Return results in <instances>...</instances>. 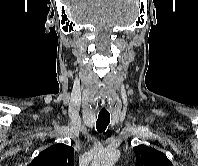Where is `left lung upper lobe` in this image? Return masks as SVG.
<instances>
[{
    "label": "left lung upper lobe",
    "mask_w": 198,
    "mask_h": 166,
    "mask_svg": "<svg viewBox=\"0 0 198 166\" xmlns=\"http://www.w3.org/2000/svg\"><path fill=\"white\" fill-rule=\"evenodd\" d=\"M136 166H172L165 154L144 144L133 148Z\"/></svg>",
    "instance_id": "left-lung-upper-lobe-1"
}]
</instances>
